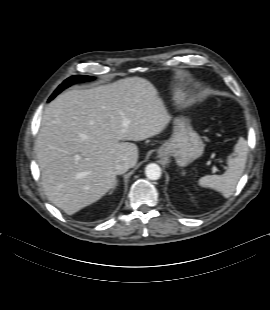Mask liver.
<instances>
[{"label": "liver", "mask_w": 270, "mask_h": 310, "mask_svg": "<svg viewBox=\"0 0 270 310\" xmlns=\"http://www.w3.org/2000/svg\"><path fill=\"white\" fill-rule=\"evenodd\" d=\"M170 120L141 77L60 94L45 109L35 146L46 196L68 215L98 201L116 184L117 161L137 163L138 147L127 141L153 137Z\"/></svg>", "instance_id": "obj_1"}]
</instances>
